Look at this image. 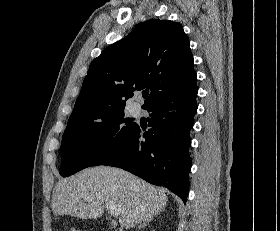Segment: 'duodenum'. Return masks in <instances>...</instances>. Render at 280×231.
<instances>
[{"label": "duodenum", "mask_w": 280, "mask_h": 231, "mask_svg": "<svg viewBox=\"0 0 280 231\" xmlns=\"http://www.w3.org/2000/svg\"><path fill=\"white\" fill-rule=\"evenodd\" d=\"M115 231H121V229H120V228H117V229H115Z\"/></svg>", "instance_id": "1"}]
</instances>
